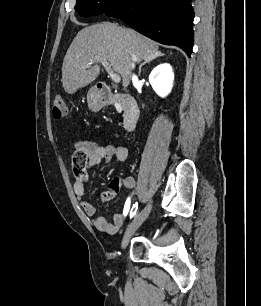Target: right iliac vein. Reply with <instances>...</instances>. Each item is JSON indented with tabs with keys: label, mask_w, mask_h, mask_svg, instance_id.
<instances>
[{
	"label": "right iliac vein",
	"mask_w": 261,
	"mask_h": 306,
	"mask_svg": "<svg viewBox=\"0 0 261 306\" xmlns=\"http://www.w3.org/2000/svg\"><path fill=\"white\" fill-rule=\"evenodd\" d=\"M152 208V203H148L145 208L138 213L135 218L133 219V221L130 223V225L128 226V228L126 229L123 239H122V243H121V248L124 250L131 237L133 236V234L137 231V229L142 225V223L146 220V218L148 217L150 211Z\"/></svg>",
	"instance_id": "right-iliac-vein-1"
}]
</instances>
